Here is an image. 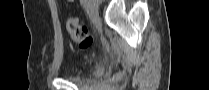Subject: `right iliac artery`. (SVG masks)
Wrapping results in <instances>:
<instances>
[{
    "instance_id": "right-iliac-artery-1",
    "label": "right iliac artery",
    "mask_w": 209,
    "mask_h": 90,
    "mask_svg": "<svg viewBox=\"0 0 209 90\" xmlns=\"http://www.w3.org/2000/svg\"><path fill=\"white\" fill-rule=\"evenodd\" d=\"M82 5H83L84 7H86V6H87V0H83V1H82Z\"/></svg>"
}]
</instances>
